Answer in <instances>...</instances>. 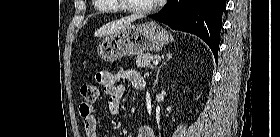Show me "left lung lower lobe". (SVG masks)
I'll list each match as a JSON object with an SVG mask.
<instances>
[{"instance_id": "obj_1", "label": "left lung lower lobe", "mask_w": 280, "mask_h": 137, "mask_svg": "<svg viewBox=\"0 0 280 137\" xmlns=\"http://www.w3.org/2000/svg\"><path fill=\"white\" fill-rule=\"evenodd\" d=\"M225 7V0H168L161 12L150 18L172 29L199 36L208 44L217 61Z\"/></svg>"}]
</instances>
